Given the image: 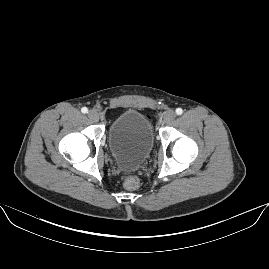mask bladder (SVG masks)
Returning <instances> with one entry per match:
<instances>
[{
  "label": "bladder",
  "mask_w": 269,
  "mask_h": 269,
  "mask_svg": "<svg viewBox=\"0 0 269 269\" xmlns=\"http://www.w3.org/2000/svg\"><path fill=\"white\" fill-rule=\"evenodd\" d=\"M107 140L114 163L134 171L153 148V124L143 113L126 109L111 122Z\"/></svg>",
  "instance_id": "1"
}]
</instances>
